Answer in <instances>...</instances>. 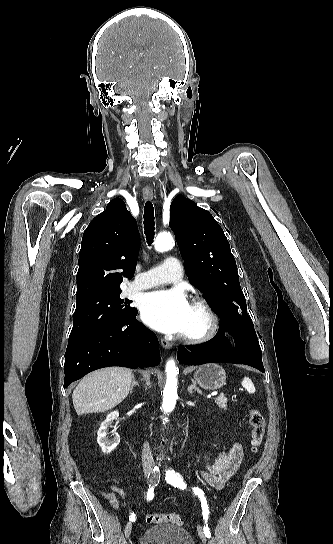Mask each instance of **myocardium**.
Masks as SVG:
<instances>
[{"label":"myocardium","mask_w":333,"mask_h":544,"mask_svg":"<svg viewBox=\"0 0 333 544\" xmlns=\"http://www.w3.org/2000/svg\"><path fill=\"white\" fill-rule=\"evenodd\" d=\"M192 306L199 308L203 312L206 318V326L199 333H183L181 338L188 343L194 344L207 342L211 340L219 330V316L210 302L203 297H195L192 300Z\"/></svg>","instance_id":"obj_1"}]
</instances>
